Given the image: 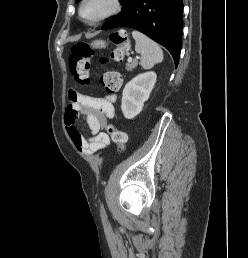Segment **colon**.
I'll use <instances>...</instances> for the list:
<instances>
[{
	"instance_id": "1",
	"label": "colon",
	"mask_w": 248,
	"mask_h": 258,
	"mask_svg": "<svg viewBox=\"0 0 248 258\" xmlns=\"http://www.w3.org/2000/svg\"><path fill=\"white\" fill-rule=\"evenodd\" d=\"M110 40L116 45V49L111 54V59L119 61L130 48L127 33L124 30L115 31L110 34ZM91 55L92 50L85 43L75 44L71 49L69 56L70 71L74 79L81 85H89L91 83ZM103 84L108 91L114 92L120 88L121 81L116 74L110 72L103 77ZM106 131L118 145V150L122 151L127 141L126 133L116 129L113 125H108Z\"/></svg>"
}]
</instances>
